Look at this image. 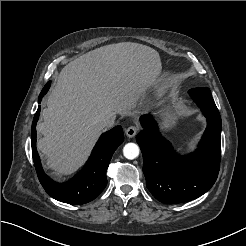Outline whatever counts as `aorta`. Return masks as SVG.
<instances>
[{"label":"aorta","instance_id":"1","mask_svg":"<svg viewBox=\"0 0 246 246\" xmlns=\"http://www.w3.org/2000/svg\"><path fill=\"white\" fill-rule=\"evenodd\" d=\"M139 151H140V149H139L138 145L135 143H127L123 147V154H124L125 158L130 159V160L138 157Z\"/></svg>","mask_w":246,"mask_h":246}]
</instances>
